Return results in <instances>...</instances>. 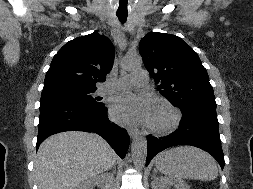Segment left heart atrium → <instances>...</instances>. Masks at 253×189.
<instances>
[{
	"label": "left heart atrium",
	"mask_w": 253,
	"mask_h": 189,
	"mask_svg": "<svg viewBox=\"0 0 253 189\" xmlns=\"http://www.w3.org/2000/svg\"><path fill=\"white\" fill-rule=\"evenodd\" d=\"M153 111L149 98L132 93L116 97L111 107L112 117L125 124H149Z\"/></svg>",
	"instance_id": "left-heart-atrium-1"
}]
</instances>
